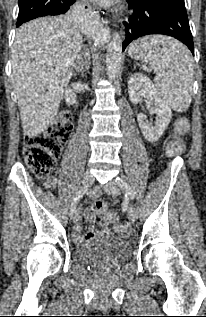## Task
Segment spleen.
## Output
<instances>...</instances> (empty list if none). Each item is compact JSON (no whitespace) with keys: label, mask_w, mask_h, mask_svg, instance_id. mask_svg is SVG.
<instances>
[{"label":"spleen","mask_w":206,"mask_h":317,"mask_svg":"<svg viewBox=\"0 0 206 317\" xmlns=\"http://www.w3.org/2000/svg\"><path fill=\"white\" fill-rule=\"evenodd\" d=\"M129 56L148 63L156 72L155 88L175 111H186L191 103L194 63L190 51L166 36L152 35L132 42Z\"/></svg>","instance_id":"obj_1"}]
</instances>
